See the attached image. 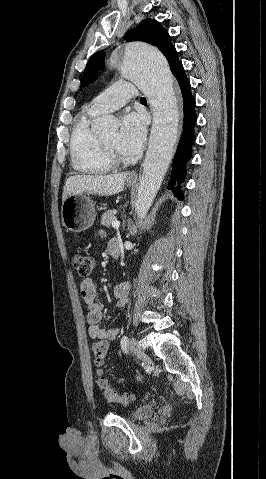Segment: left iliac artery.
Here are the masks:
<instances>
[{"label":"left iliac artery","instance_id":"left-iliac-artery-1","mask_svg":"<svg viewBox=\"0 0 266 479\" xmlns=\"http://www.w3.org/2000/svg\"><path fill=\"white\" fill-rule=\"evenodd\" d=\"M120 345H121V348L123 350V352H127V349H128V337L127 336H123L122 339H121V342H120ZM140 372V376L142 375L141 374V370L139 371Z\"/></svg>","mask_w":266,"mask_h":479}]
</instances>
